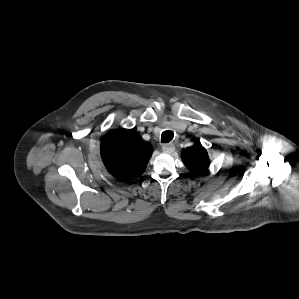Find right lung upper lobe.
<instances>
[{
    "label": "right lung upper lobe",
    "mask_w": 299,
    "mask_h": 299,
    "mask_svg": "<svg viewBox=\"0 0 299 299\" xmlns=\"http://www.w3.org/2000/svg\"><path fill=\"white\" fill-rule=\"evenodd\" d=\"M152 155V148L132 130H111L101 143V156L108 171L120 180L140 176Z\"/></svg>",
    "instance_id": "cb5924a9"
}]
</instances>
